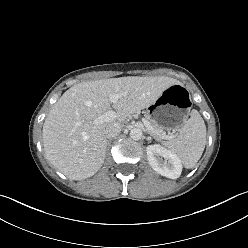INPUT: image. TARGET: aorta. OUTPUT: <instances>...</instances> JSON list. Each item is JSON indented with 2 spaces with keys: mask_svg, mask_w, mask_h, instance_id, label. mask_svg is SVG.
<instances>
[{
  "mask_svg": "<svg viewBox=\"0 0 248 248\" xmlns=\"http://www.w3.org/2000/svg\"><path fill=\"white\" fill-rule=\"evenodd\" d=\"M142 130L140 128H133L131 129L130 131V137L133 139V140H139L142 138Z\"/></svg>",
  "mask_w": 248,
  "mask_h": 248,
  "instance_id": "aorta-1",
  "label": "aorta"
}]
</instances>
